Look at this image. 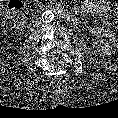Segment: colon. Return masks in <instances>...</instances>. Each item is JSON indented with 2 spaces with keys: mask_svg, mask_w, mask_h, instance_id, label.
Masks as SVG:
<instances>
[{
  "mask_svg": "<svg viewBox=\"0 0 118 118\" xmlns=\"http://www.w3.org/2000/svg\"><path fill=\"white\" fill-rule=\"evenodd\" d=\"M22 19V3L19 0H13L9 4L5 16L4 24L6 27H16Z\"/></svg>",
  "mask_w": 118,
  "mask_h": 118,
  "instance_id": "1",
  "label": "colon"
}]
</instances>
